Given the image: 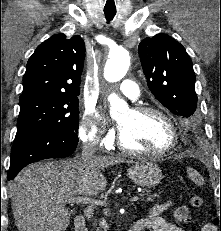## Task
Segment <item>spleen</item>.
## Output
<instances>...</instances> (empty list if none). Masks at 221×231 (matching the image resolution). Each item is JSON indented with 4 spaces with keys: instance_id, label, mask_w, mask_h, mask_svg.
<instances>
[{
    "instance_id": "3e777b00",
    "label": "spleen",
    "mask_w": 221,
    "mask_h": 231,
    "mask_svg": "<svg viewBox=\"0 0 221 231\" xmlns=\"http://www.w3.org/2000/svg\"><path fill=\"white\" fill-rule=\"evenodd\" d=\"M187 173L192 180H195L200 185L202 184V180L199 177V174L195 170H193L192 168H188Z\"/></svg>"
}]
</instances>
